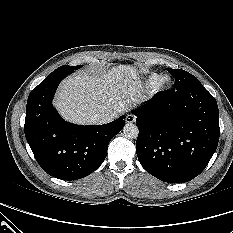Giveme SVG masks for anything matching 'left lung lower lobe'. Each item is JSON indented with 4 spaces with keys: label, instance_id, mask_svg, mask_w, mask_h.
I'll return each mask as SVG.
<instances>
[{
    "label": "left lung lower lobe",
    "instance_id": "0a47b994",
    "mask_svg": "<svg viewBox=\"0 0 233 233\" xmlns=\"http://www.w3.org/2000/svg\"><path fill=\"white\" fill-rule=\"evenodd\" d=\"M134 113L138 159L147 172L164 182L192 180L216 151L218 105L202 84L158 92Z\"/></svg>",
    "mask_w": 233,
    "mask_h": 233
}]
</instances>
